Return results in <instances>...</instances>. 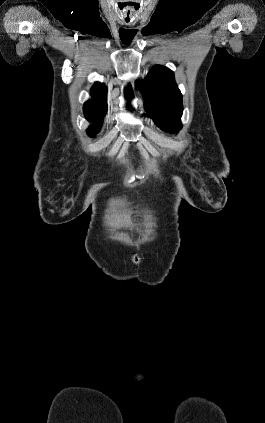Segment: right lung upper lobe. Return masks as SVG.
<instances>
[{
	"label": "right lung upper lobe",
	"instance_id": "cb5924a9",
	"mask_svg": "<svg viewBox=\"0 0 265 423\" xmlns=\"http://www.w3.org/2000/svg\"><path fill=\"white\" fill-rule=\"evenodd\" d=\"M130 91L129 87L125 89V94L128 99L131 97ZM105 93L106 89L104 84L96 83L91 88L92 100L87 101L83 107L85 117L88 120L101 123L107 110Z\"/></svg>",
	"mask_w": 265,
	"mask_h": 423
}]
</instances>
